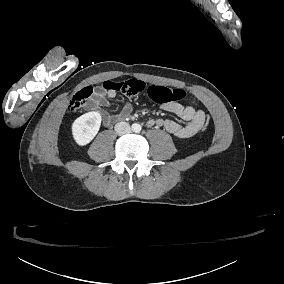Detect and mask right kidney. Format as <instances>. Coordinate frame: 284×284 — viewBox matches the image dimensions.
I'll return each instance as SVG.
<instances>
[{
  "label": "right kidney",
  "mask_w": 284,
  "mask_h": 284,
  "mask_svg": "<svg viewBox=\"0 0 284 284\" xmlns=\"http://www.w3.org/2000/svg\"><path fill=\"white\" fill-rule=\"evenodd\" d=\"M100 125L101 115L98 112H88L77 118L72 125V134L77 144H88L98 133Z\"/></svg>",
  "instance_id": "right-kidney-1"
}]
</instances>
